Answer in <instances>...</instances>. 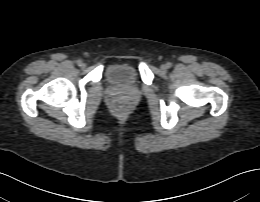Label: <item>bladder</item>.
I'll return each instance as SVG.
<instances>
[{
  "instance_id": "1",
  "label": "bladder",
  "mask_w": 260,
  "mask_h": 202,
  "mask_svg": "<svg viewBox=\"0 0 260 202\" xmlns=\"http://www.w3.org/2000/svg\"><path fill=\"white\" fill-rule=\"evenodd\" d=\"M139 77V70L129 63L112 64L105 72V78L109 84L122 88L136 85Z\"/></svg>"
}]
</instances>
